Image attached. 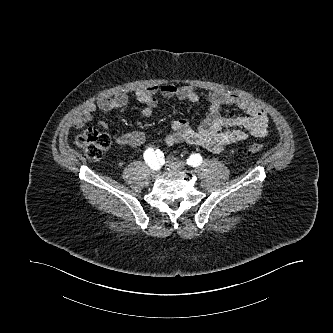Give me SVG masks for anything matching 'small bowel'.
<instances>
[{"instance_id": "1", "label": "small bowel", "mask_w": 333, "mask_h": 333, "mask_svg": "<svg viewBox=\"0 0 333 333\" xmlns=\"http://www.w3.org/2000/svg\"><path fill=\"white\" fill-rule=\"evenodd\" d=\"M200 103L202 96L192 87L175 85L172 83L140 88L135 91L136 99L144 105L142 118L152 116L157 105L156 96ZM208 113L204 121L196 128L187 119L175 120L171 123V133L165 138L167 146L189 143L200 146L209 151L222 152L231 144L249 139L263 138L268 134V117L254 101L239 94L225 91L212 92L207 96ZM125 93L98 98L82 113L76 116L72 125L81 128L92 120L96 110L109 112L124 107L128 103ZM226 105H233L241 109V116L224 117L221 110ZM145 142V135L140 131L115 134L114 143L118 147L138 148Z\"/></svg>"}]
</instances>
